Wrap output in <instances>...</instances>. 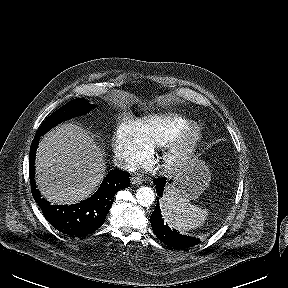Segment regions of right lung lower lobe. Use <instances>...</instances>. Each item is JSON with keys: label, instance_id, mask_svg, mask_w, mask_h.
I'll return each mask as SVG.
<instances>
[{"label": "right lung lower lobe", "instance_id": "obj_1", "mask_svg": "<svg viewBox=\"0 0 288 288\" xmlns=\"http://www.w3.org/2000/svg\"><path fill=\"white\" fill-rule=\"evenodd\" d=\"M39 137L35 135L29 156V175L34 200L41 208L46 220L58 231L73 237L93 233L105 222L115 194L120 189L129 187L130 174L119 169L111 170L90 198L69 206L50 205L41 198L34 180V161Z\"/></svg>", "mask_w": 288, "mask_h": 288}]
</instances>
